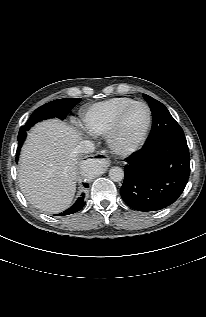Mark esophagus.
<instances>
[{
	"mask_svg": "<svg viewBox=\"0 0 206 317\" xmlns=\"http://www.w3.org/2000/svg\"><path fill=\"white\" fill-rule=\"evenodd\" d=\"M94 157H95V160H97L100 164L104 166H108L111 163L110 159L108 158V155L104 151L96 154Z\"/></svg>",
	"mask_w": 206,
	"mask_h": 317,
	"instance_id": "obj_1",
	"label": "esophagus"
}]
</instances>
